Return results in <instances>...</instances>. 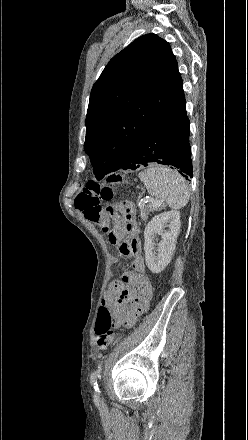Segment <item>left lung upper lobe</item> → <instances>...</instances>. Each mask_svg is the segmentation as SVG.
<instances>
[{
    "mask_svg": "<svg viewBox=\"0 0 248 440\" xmlns=\"http://www.w3.org/2000/svg\"><path fill=\"white\" fill-rule=\"evenodd\" d=\"M183 97L176 58L156 34L116 54L93 85L85 120L84 150L96 178L117 170L134 142Z\"/></svg>",
    "mask_w": 248,
    "mask_h": 440,
    "instance_id": "1",
    "label": "left lung upper lobe"
}]
</instances>
